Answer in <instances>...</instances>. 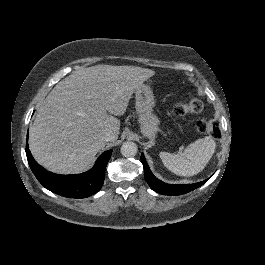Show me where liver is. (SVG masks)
Masks as SVG:
<instances>
[{
	"instance_id": "1",
	"label": "liver",
	"mask_w": 265,
	"mask_h": 265,
	"mask_svg": "<svg viewBox=\"0 0 265 265\" xmlns=\"http://www.w3.org/2000/svg\"><path fill=\"white\" fill-rule=\"evenodd\" d=\"M154 71L137 66L98 64L75 70L50 91L29 131L34 160L49 172L80 174L105 147L104 133L115 141L132 92ZM109 112L110 114H107Z\"/></svg>"
}]
</instances>
